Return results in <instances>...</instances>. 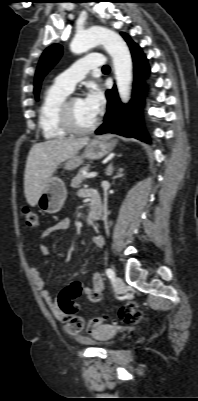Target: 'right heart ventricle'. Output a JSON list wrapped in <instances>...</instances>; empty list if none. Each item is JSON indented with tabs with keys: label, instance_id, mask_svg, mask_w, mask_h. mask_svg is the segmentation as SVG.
Listing matches in <instances>:
<instances>
[{
	"label": "right heart ventricle",
	"instance_id": "e07e8e85",
	"mask_svg": "<svg viewBox=\"0 0 198 401\" xmlns=\"http://www.w3.org/2000/svg\"><path fill=\"white\" fill-rule=\"evenodd\" d=\"M70 94L55 83L49 86L39 107V127L45 139H61L68 135L59 121V111L63 101Z\"/></svg>",
	"mask_w": 198,
	"mask_h": 401
}]
</instances>
